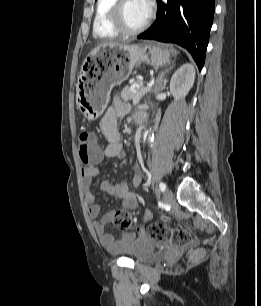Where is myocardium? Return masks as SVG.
Masks as SVG:
<instances>
[{
  "instance_id": "myocardium-1",
  "label": "myocardium",
  "mask_w": 261,
  "mask_h": 306,
  "mask_svg": "<svg viewBox=\"0 0 261 306\" xmlns=\"http://www.w3.org/2000/svg\"><path fill=\"white\" fill-rule=\"evenodd\" d=\"M127 0H116L110 11V21L116 30L123 35H136L143 32L150 24L152 13H148L146 20L138 27H129L124 19V5Z\"/></svg>"
}]
</instances>
